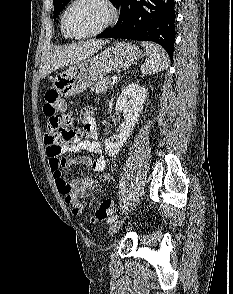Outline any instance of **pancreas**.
Returning a JSON list of instances; mask_svg holds the SVG:
<instances>
[{
    "label": "pancreas",
    "mask_w": 233,
    "mask_h": 294,
    "mask_svg": "<svg viewBox=\"0 0 233 294\" xmlns=\"http://www.w3.org/2000/svg\"><path fill=\"white\" fill-rule=\"evenodd\" d=\"M114 82H112L109 78L105 77L99 79L91 88V92H95L97 94H103L107 89L112 87Z\"/></svg>",
    "instance_id": "cf45deb5"
}]
</instances>
